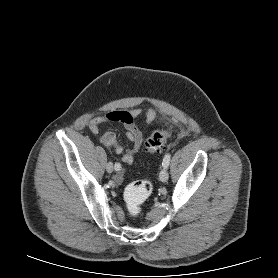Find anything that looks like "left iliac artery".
<instances>
[{"label":"left iliac artery","instance_id":"1","mask_svg":"<svg viewBox=\"0 0 278 278\" xmlns=\"http://www.w3.org/2000/svg\"><path fill=\"white\" fill-rule=\"evenodd\" d=\"M170 158H171V155L169 153H167L163 159V167L164 168H167L169 166V163H170Z\"/></svg>","mask_w":278,"mask_h":278}]
</instances>
